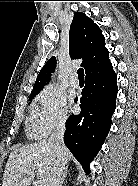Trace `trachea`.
<instances>
[{"label":"trachea","mask_w":138,"mask_h":186,"mask_svg":"<svg viewBox=\"0 0 138 186\" xmlns=\"http://www.w3.org/2000/svg\"><path fill=\"white\" fill-rule=\"evenodd\" d=\"M77 73H78L79 81H84V69L83 68H79Z\"/></svg>","instance_id":"trachea-1"}]
</instances>
